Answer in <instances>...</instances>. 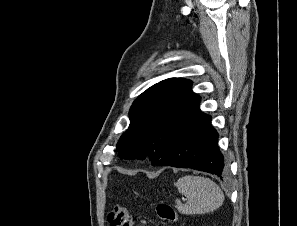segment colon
<instances>
[{
    "label": "colon",
    "mask_w": 297,
    "mask_h": 226,
    "mask_svg": "<svg viewBox=\"0 0 297 226\" xmlns=\"http://www.w3.org/2000/svg\"><path fill=\"white\" fill-rule=\"evenodd\" d=\"M156 216L165 222L177 221L174 209L166 203H159L156 206ZM108 223L110 226H133L134 221L127 208L116 205L108 214Z\"/></svg>",
    "instance_id": "1"
}]
</instances>
